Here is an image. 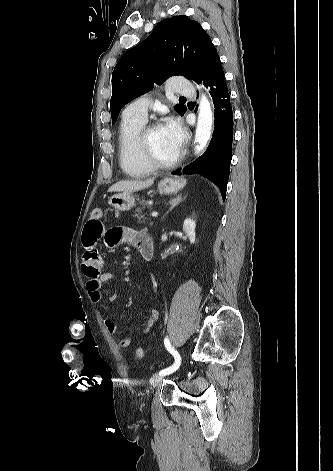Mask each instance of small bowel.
Instances as JSON below:
<instances>
[{"mask_svg": "<svg viewBox=\"0 0 333 471\" xmlns=\"http://www.w3.org/2000/svg\"><path fill=\"white\" fill-rule=\"evenodd\" d=\"M147 234L129 227H112L105 229L101 218H89L84 226L82 241L84 254L82 258V271L88 277L87 291L92 302L99 303L102 300V287L106 283L114 282V274L103 270V258L98 250L100 241H104L109 248L117 247L122 244H129L138 250L141 244L147 238ZM112 298V296H110ZM159 318V312L153 309L149 320L143 329V333L148 332ZM104 325L110 333L118 331L117 324L111 319L105 318ZM131 344V339L125 337L121 339L119 345L127 348Z\"/></svg>", "mask_w": 333, "mask_h": 471, "instance_id": "1", "label": "small bowel"}]
</instances>
